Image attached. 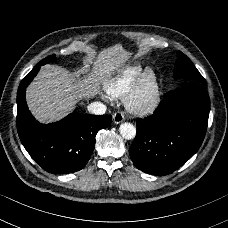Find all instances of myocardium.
<instances>
[{"label": "myocardium", "mask_w": 228, "mask_h": 228, "mask_svg": "<svg viewBox=\"0 0 228 228\" xmlns=\"http://www.w3.org/2000/svg\"><path fill=\"white\" fill-rule=\"evenodd\" d=\"M162 100L161 84L158 74L147 70L129 98V105L135 112L149 114L154 112Z\"/></svg>", "instance_id": "obj_1"}]
</instances>
